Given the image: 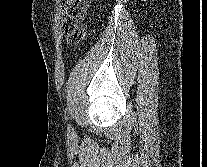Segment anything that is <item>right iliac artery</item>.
<instances>
[{"mask_svg":"<svg viewBox=\"0 0 207 167\" xmlns=\"http://www.w3.org/2000/svg\"><path fill=\"white\" fill-rule=\"evenodd\" d=\"M68 129H69V131L71 130V125H69Z\"/></svg>","mask_w":207,"mask_h":167,"instance_id":"1","label":"right iliac artery"}]
</instances>
